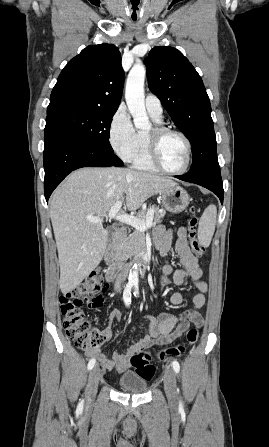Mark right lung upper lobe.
<instances>
[{"label":"right lung upper lobe","mask_w":269,"mask_h":447,"mask_svg":"<svg viewBox=\"0 0 269 447\" xmlns=\"http://www.w3.org/2000/svg\"><path fill=\"white\" fill-rule=\"evenodd\" d=\"M123 82L118 48L112 44L90 45L62 70L47 113L66 108L117 110Z\"/></svg>","instance_id":"right-lung-upper-lobe-1"}]
</instances>
